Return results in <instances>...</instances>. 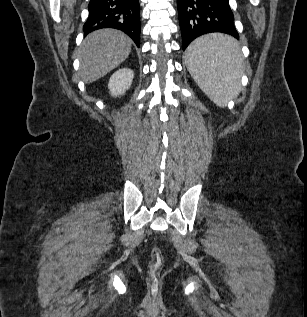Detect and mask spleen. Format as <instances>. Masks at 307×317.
Wrapping results in <instances>:
<instances>
[{"label": "spleen", "mask_w": 307, "mask_h": 317, "mask_svg": "<svg viewBox=\"0 0 307 317\" xmlns=\"http://www.w3.org/2000/svg\"><path fill=\"white\" fill-rule=\"evenodd\" d=\"M187 68L203 92L218 106L240 89L242 57L232 37L210 34L196 39L186 51Z\"/></svg>", "instance_id": "obj_1"}]
</instances>
